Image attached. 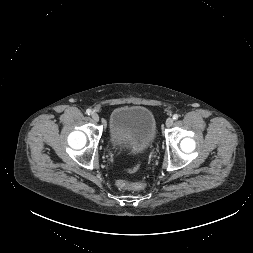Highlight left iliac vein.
Instances as JSON below:
<instances>
[{
  "label": "left iliac vein",
  "instance_id": "1",
  "mask_svg": "<svg viewBox=\"0 0 253 253\" xmlns=\"http://www.w3.org/2000/svg\"><path fill=\"white\" fill-rule=\"evenodd\" d=\"M173 125V119L172 118H168L167 120H166V126L167 127H171Z\"/></svg>",
  "mask_w": 253,
  "mask_h": 253
}]
</instances>
